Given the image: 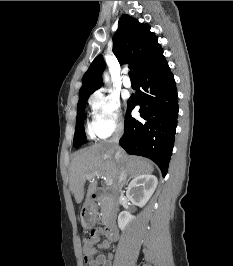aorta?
I'll use <instances>...</instances> for the list:
<instances>
[{"mask_svg":"<svg viewBox=\"0 0 233 266\" xmlns=\"http://www.w3.org/2000/svg\"><path fill=\"white\" fill-rule=\"evenodd\" d=\"M109 81V76H108V74H104V82H108Z\"/></svg>","mask_w":233,"mask_h":266,"instance_id":"obj_1","label":"aorta"}]
</instances>
